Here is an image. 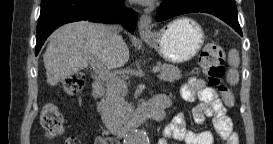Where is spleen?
<instances>
[{
    "label": "spleen",
    "instance_id": "spleen-1",
    "mask_svg": "<svg viewBox=\"0 0 273 144\" xmlns=\"http://www.w3.org/2000/svg\"><path fill=\"white\" fill-rule=\"evenodd\" d=\"M228 63L231 66L227 74V82L230 85H236L239 82V73L237 67L240 63L239 52L236 49H231L228 54Z\"/></svg>",
    "mask_w": 273,
    "mask_h": 144
}]
</instances>
